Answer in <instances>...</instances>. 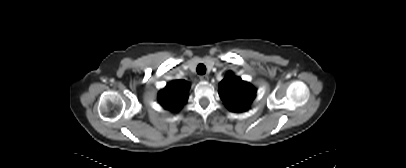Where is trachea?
I'll return each mask as SVG.
<instances>
[{"mask_svg": "<svg viewBox=\"0 0 406 168\" xmlns=\"http://www.w3.org/2000/svg\"><path fill=\"white\" fill-rule=\"evenodd\" d=\"M197 73L200 75H204L206 73V66L204 64H199L197 66Z\"/></svg>", "mask_w": 406, "mask_h": 168, "instance_id": "trachea-1", "label": "trachea"}]
</instances>
